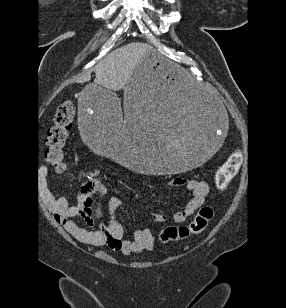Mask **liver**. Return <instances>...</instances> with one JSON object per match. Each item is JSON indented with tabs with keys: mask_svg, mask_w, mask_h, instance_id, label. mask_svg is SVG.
<instances>
[{
	"mask_svg": "<svg viewBox=\"0 0 286 308\" xmlns=\"http://www.w3.org/2000/svg\"><path fill=\"white\" fill-rule=\"evenodd\" d=\"M154 52L153 47L146 43H130L124 45L102 59L95 67V84L109 91H119L128 83L137 63L148 53ZM90 73L83 76L82 81H89Z\"/></svg>",
	"mask_w": 286,
	"mask_h": 308,
	"instance_id": "6515ba94",
	"label": "liver"
}]
</instances>
